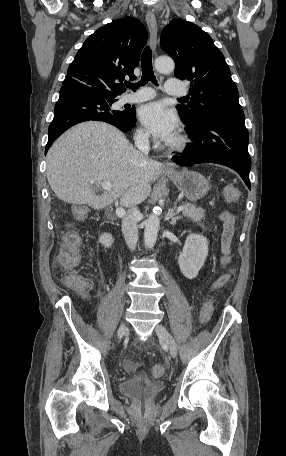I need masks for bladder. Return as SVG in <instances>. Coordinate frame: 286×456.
I'll return each mask as SVG.
<instances>
[{
	"instance_id": "1",
	"label": "bladder",
	"mask_w": 286,
	"mask_h": 456,
	"mask_svg": "<svg viewBox=\"0 0 286 456\" xmlns=\"http://www.w3.org/2000/svg\"><path fill=\"white\" fill-rule=\"evenodd\" d=\"M162 391L160 383H154L146 376H133L120 383V392L137 401H152Z\"/></svg>"
}]
</instances>
